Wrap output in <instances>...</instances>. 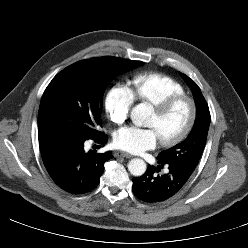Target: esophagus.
Returning <instances> with one entry per match:
<instances>
[{
  "label": "esophagus",
  "instance_id": "obj_1",
  "mask_svg": "<svg viewBox=\"0 0 248 248\" xmlns=\"http://www.w3.org/2000/svg\"><path fill=\"white\" fill-rule=\"evenodd\" d=\"M114 156L115 157H123V158H131L132 157L131 154L126 153V152H121V151L115 152Z\"/></svg>",
  "mask_w": 248,
  "mask_h": 248
}]
</instances>
